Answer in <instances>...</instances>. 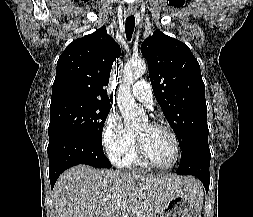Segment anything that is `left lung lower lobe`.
Returning a JSON list of instances; mask_svg holds the SVG:
<instances>
[{"label": "left lung lower lobe", "mask_w": 253, "mask_h": 217, "mask_svg": "<svg viewBox=\"0 0 253 217\" xmlns=\"http://www.w3.org/2000/svg\"><path fill=\"white\" fill-rule=\"evenodd\" d=\"M210 158L211 154L208 140L193 139L182 150L177 174L196 176L201 180L206 192H208L210 183Z\"/></svg>", "instance_id": "left-lung-lower-lobe-1"}]
</instances>
